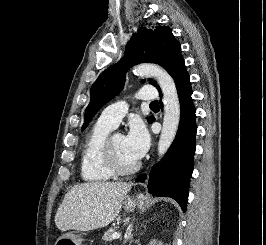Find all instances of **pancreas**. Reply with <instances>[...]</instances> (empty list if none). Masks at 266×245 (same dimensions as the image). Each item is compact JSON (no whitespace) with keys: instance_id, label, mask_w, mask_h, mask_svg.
<instances>
[{"instance_id":"1","label":"pancreas","mask_w":266,"mask_h":245,"mask_svg":"<svg viewBox=\"0 0 266 245\" xmlns=\"http://www.w3.org/2000/svg\"><path fill=\"white\" fill-rule=\"evenodd\" d=\"M113 233H117V229H109V231H106L102 237V241H110V243L114 241V239H112Z\"/></svg>"}]
</instances>
